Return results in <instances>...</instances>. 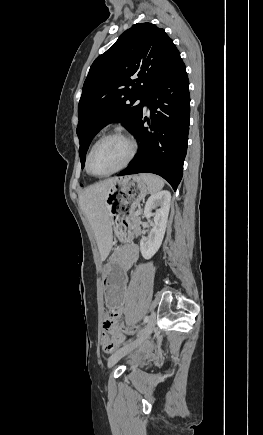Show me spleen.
<instances>
[{
	"label": "spleen",
	"instance_id": "obj_1",
	"mask_svg": "<svg viewBox=\"0 0 263 435\" xmlns=\"http://www.w3.org/2000/svg\"><path fill=\"white\" fill-rule=\"evenodd\" d=\"M140 178L146 183L148 191L154 194L160 191L164 186V180L153 174H140Z\"/></svg>",
	"mask_w": 263,
	"mask_h": 435
}]
</instances>
